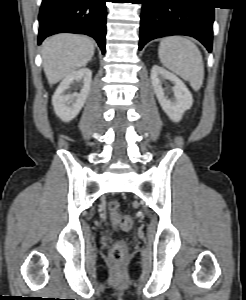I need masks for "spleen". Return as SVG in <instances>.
<instances>
[{"mask_svg":"<svg viewBox=\"0 0 246 300\" xmlns=\"http://www.w3.org/2000/svg\"><path fill=\"white\" fill-rule=\"evenodd\" d=\"M164 67L190 82L198 91L204 79V64L200 50L189 39L181 36L163 38L158 49Z\"/></svg>","mask_w":246,"mask_h":300,"instance_id":"spleen-1","label":"spleen"}]
</instances>
